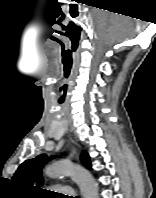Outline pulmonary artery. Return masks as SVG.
<instances>
[{
	"label": "pulmonary artery",
	"mask_w": 156,
	"mask_h": 198,
	"mask_svg": "<svg viewBox=\"0 0 156 198\" xmlns=\"http://www.w3.org/2000/svg\"><path fill=\"white\" fill-rule=\"evenodd\" d=\"M55 189L66 193L71 191V188L68 186H56Z\"/></svg>",
	"instance_id": "1"
}]
</instances>
